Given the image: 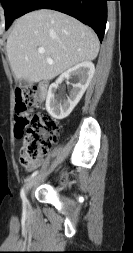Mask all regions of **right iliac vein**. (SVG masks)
<instances>
[{"instance_id":"right-iliac-vein-1","label":"right iliac vein","mask_w":133,"mask_h":253,"mask_svg":"<svg viewBox=\"0 0 133 253\" xmlns=\"http://www.w3.org/2000/svg\"><path fill=\"white\" fill-rule=\"evenodd\" d=\"M41 177L42 176H38L29 182L27 185V192L41 179Z\"/></svg>"}]
</instances>
